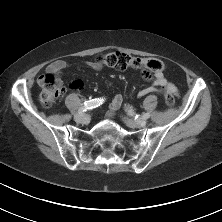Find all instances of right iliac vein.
Masks as SVG:
<instances>
[{
    "mask_svg": "<svg viewBox=\"0 0 222 222\" xmlns=\"http://www.w3.org/2000/svg\"><path fill=\"white\" fill-rule=\"evenodd\" d=\"M74 119L78 123H89L90 118L87 114L85 113H78L74 116Z\"/></svg>",
    "mask_w": 222,
    "mask_h": 222,
    "instance_id": "obj_1",
    "label": "right iliac vein"
}]
</instances>
